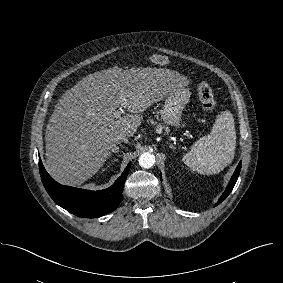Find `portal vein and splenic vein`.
<instances>
[{"mask_svg":"<svg viewBox=\"0 0 283 283\" xmlns=\"http://www.w3.org/2000/svg\"><path fill=\"white\" fill-rule=\"evenodd\" d=\"M123 112H124V110L120 108L119 110L113 112V116H114L115 118H120V117H121V114H122Z\"/></svg>","mask_w":283,"mask_h":283,"instance_id":"obj_1","label":"portal vein and splenic vein"}]
</instances>
